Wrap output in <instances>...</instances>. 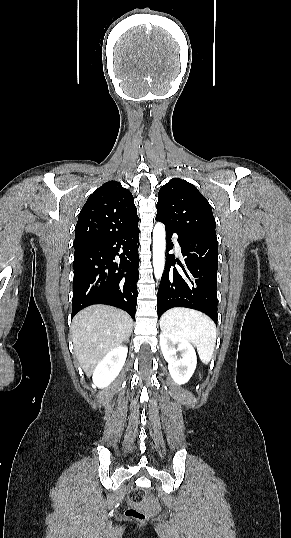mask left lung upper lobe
<instances>
[{
	"label": "left lung upper lobe",
	"instance_id": "obj_1",
	"mask_svg": "<svg viewBox=\"0 0 291 538\" xmlns=\"http://www.w3.org/2000/svg\"><path fill=\"white\" fill-rule=\"evenodd\" d=\"M156 218L188 235L216 238L215 219L209 202L191 183L173 178L158 193Z\"/></svg>",
	"mask_w": 291,
	"mask_h": 538
}]
</instances>
